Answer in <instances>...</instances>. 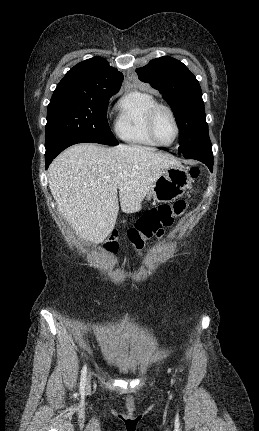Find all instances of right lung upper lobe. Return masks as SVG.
I'll list each match as a JSON object with an SVG mask.
<instances>
[{
  "instance_id": "1",
  "label": "right lung upper lobe",
  "mask_w": 259,
  "mask_h": 431,
  "mask_svg": "<svg viewBox=\"0 0 259 431\" xmlns=\"http://www.w3.org/2000/svg\"><path fill=\"white\" fill-rule=\"evenodd\" d=\"M123 75L109 66L101 57L87 59L71 68L58 83L54 92H74L81 94H104L117 92Z\"/></svg>"
}]
</instances>
